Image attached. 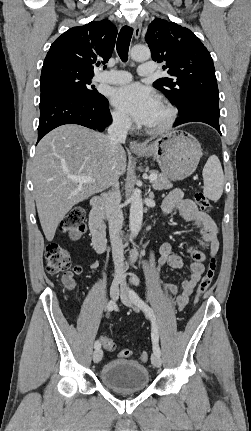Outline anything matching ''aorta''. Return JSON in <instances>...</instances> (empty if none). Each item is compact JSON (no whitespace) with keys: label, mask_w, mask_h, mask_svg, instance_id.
I'll list each match as a JSON object with an SVG mask.
<instances>
[{"label":"aorta","mask_w":251,"mask_h":431,"mask_svg":"<svg viewBox=\"0 0 251 431\" xmlns=\"http://www.w3.org/2000/svg\"><path fill=\"white\" fill-rule=\"evenodd\" d=\"M130 56L135 61H145L150 58L151 52L146 46H134L130 51ZM130 201L129 228L133 235H137L143 221V201L139 189L133 191Z\"/></svg>","instance_id":"obj_1"}]
</instances>
